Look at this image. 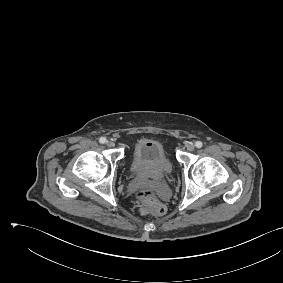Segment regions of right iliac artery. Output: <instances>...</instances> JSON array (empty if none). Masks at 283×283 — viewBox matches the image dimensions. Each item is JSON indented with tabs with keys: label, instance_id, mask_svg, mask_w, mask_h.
<instances>
[{
	"label": "right iliac artery",
	"instance_id": "82829eb1",
	"mask_svg": "<svg viewBox=\"0 0 283 283\" xmlns=\"http://www.w3.org/2000/svg\"><path fill=\"white\" fill-rule=\"evenodd\" d=\"M99 142H100L101 144L106 143V138H105V137H101V138L99 139Z\"/></svg>",
	"mask_w": 283,
	"mask_h": 283
}]
</instances>
